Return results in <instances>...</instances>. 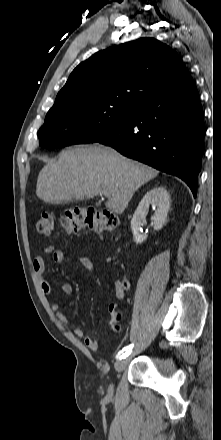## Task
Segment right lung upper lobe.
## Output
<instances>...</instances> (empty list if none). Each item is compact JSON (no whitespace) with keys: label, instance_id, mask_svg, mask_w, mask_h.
I'll use <instances>...</instances> for the list:
<instances>
[{"label":"right lung upper lobe","instance_id":"cb5924a9","mask_svg":"<svg viewBox=\"0 0 221 440\" xmlns=\"http://www.w3.org/2000/svg\"><path fill=\"white\" fill-rule=\"evenodd\" d=\"M191 83L178 54L154 38L99 51L80 63L50 110L73 104L117 103L136 107Z\"/></svg>","mask_w":221,"mask_h":440}]
</instances>
